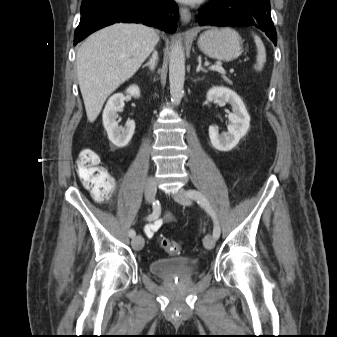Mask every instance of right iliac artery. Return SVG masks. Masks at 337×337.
<instances>
[{
    "instance_id": "obj_1",
    "label": "right iliac artery",
    "mask_w": 337,
    "mask_h": 337,
    "mask_svg": "<svg viewBox=\"0 0 337 337\" xmlns=\"http://www.w3.org/2000/svg\"><path fill=\"white\" fill-rule=\"evenodd\" d=\"M153 212L147 217V220L152 221L159 217L160 215V203L158 200L153 201L152 203ZM136 235L135 230L131 229L129 231V237L134 238Z\"/></svg>"
}]
</instances>
